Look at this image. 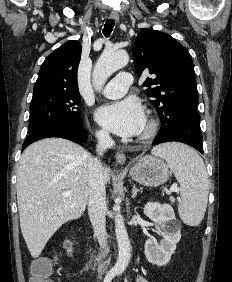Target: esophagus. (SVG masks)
<instances>
[{
	"mask_svg": "<svg viewBox=\"0 0 232 282\" xmlns=\"http://www.w3.org/2000/svg\"><path fill=\"white\" fill-rule=\"evenodd\" d=\"M110 18L115 20L116 22H119V15L117 12L115 11H112L110 13ZM115 159H116V162L120 165L124 164L125 161H126V156L125 154H123L122 152L118 151L116 154H115Z\"/></svg>",
	"mask_w": 232,
	"mask_h": 282,
	"instance_id": "obj_1",
	"label": "esophagus"
}]
</instances>
